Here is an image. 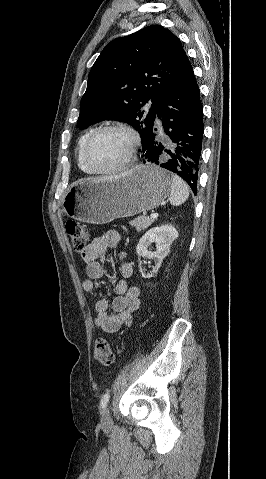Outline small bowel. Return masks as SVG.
Listing matches in <instances>:
<instances>
[{
    "mask_svg": "<svg viewBox=\"0 0 266 479\" xmlns=\"http://www.w3.org/2000/svg\"><path fill=\"white\" fill-rule=\"evenodd\" d=\"M122 236L117 231H108L95 237L81 253L86 265V278L82 287L87 293H97V281L103 277L104 268L98 261L110 249L117 247ZM120 278L115 281L116 296L110 303L106 298H100L95 303V326L104 333H115L122 327H129L133 322L135 312L140 307V290L137 286L129 285L127 279L133 274V267L129 262L119 264Z\"/></svg>",
    "mask_w": 266,
    "mask_h": 479,
    "instance_id": "1",
    "label": "small bowel"
}]
</instances>
